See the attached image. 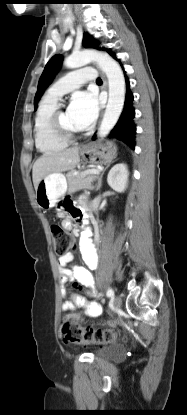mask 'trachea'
<instances>
[{
    "instance_id": "obj_1",
    "label": "trachea",
    "mask_w": 187,
    "mask_h": 415,
    "mask_svg": "<svg viewBox=\"0 0 187 415\" xmlns=\"http://www.w3.org/2000/svg\"><path fill=\"white\" fill-rule=\"evenodd\" d=\"M96 82H102L101 78H97Z\"/></svg>"
}]
</instances>
